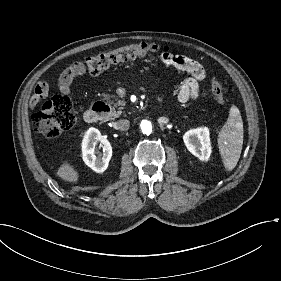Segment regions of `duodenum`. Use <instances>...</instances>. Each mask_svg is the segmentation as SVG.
<instances>
[{"instance_id": "1", "label": "duodenum", "mask_w": 281, "mask_h": 281, "mask_svg": "<svg viewBox=\"0 0 281 281\" xmlns=\"http://www.w3.org/2000/svg\"><path fill=\"white\" fill-rule=\"evenodd\" d=\"M108 111L107 104L104 101H96L85 112L84 120L89 124L97 123Z\"/></svg>"}]
</instances>
